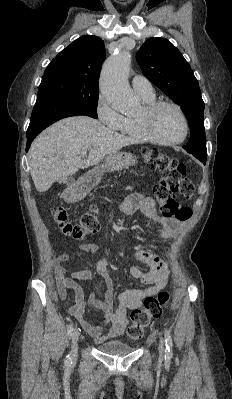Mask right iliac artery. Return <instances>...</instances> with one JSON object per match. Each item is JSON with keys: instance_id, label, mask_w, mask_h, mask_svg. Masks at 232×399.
Segmentation results:
<instances>
[{"instance_id": "82829eb1", "label": "right iliac artery", "mask_w": 232, "mask_h": 399, "mask_svg": "<svg viewBox=\"0 0 232 399\" xmlns=\"http://www.w3.org/2000/svg\"><path fill=\"white\" fill-rule=\"evenodd\" d=\"M73 331H74V326H73V324H70L69 327H68V329H67L68 335L71 336L72 333H73ZM65 363H66V365H70V364L72 363L71 357H70L69 354H68L67 357H66Z\"/></svg>"}]
</instances>
